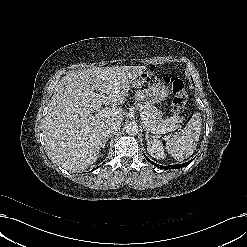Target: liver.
<instances>
[{"label":"liver","instance_id":"obj_1","mask_svg":"<svg viewBox=\"0 0 247 247\" xmlns=\"http://www.w3.org/2000/svg\"><path fill=\"white\" fill-rule=\"evenodd\" d=\"M145 70L146 66L92 67L64 76L55 87L43 123L50 160L71 172L96 162L105 124L123 120L124 111L116 105L126 100L132 81ZM104 104L113 106L109 115L91 114Z\"/></svg>","mask_w":247,"mask_h":247}]
</instances>
